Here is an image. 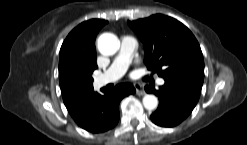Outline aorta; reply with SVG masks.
<instances>
[{
    "label": "aorta",
    "instance_id": "aorta-1",
    "mask_svg": "<svg viewBox=\"0 0 247 145\" xmlns=\"http://www.w3.org/2000/svg\"><path fill=\"white\" fill-rule=\"evenodd\" d=\"M119 48L118 39L114 34L104 33L98 38V50L103 55H113ZM143 105L147 110H154L158 106V99L152 94L143 97Z\"/></svg>",
    "mask_w": 247,
    "mask_h": 145
}]
</instances>
